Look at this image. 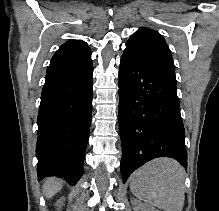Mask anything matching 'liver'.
<instances>
[{
	"label": "liver",
	"instance_id": "liver-1",
	"mask_svg": "<svg viewBox=\"0 0 219 211\" xmlns=\"http://www.w3.org/2000/svg\"><path fill=\"white\" fill-rule=\"evenodd\" d=\"M62 183V179H58V177H47L43 183L45 197H53L61 189Z\"/></svg>",
	"mask_w": 219,
	"mask_h": 211
}]
</instances>
